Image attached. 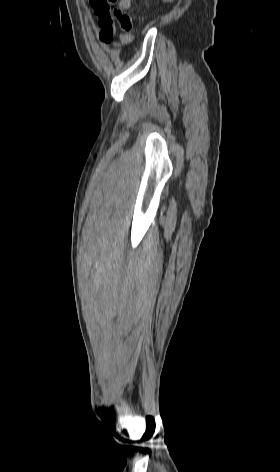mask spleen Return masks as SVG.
<instances>
[{"label": "spleen", "mask_w": 280, "mask_h": 472, "mask_svg": "<svg viewBox=\"0 0 280 472\" xmlns=\"http://www.w3.org/2000/svg\"><path fill=\"white\" fill-rule=\"evenodd\" d=\"M164 1H173V0H164Z\"/></svg>", "instance_id": "3e777b00"}]
</instances>
